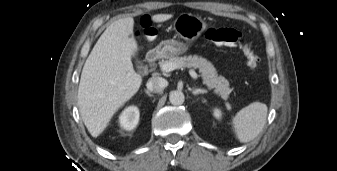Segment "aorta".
Segmentation results:
<instances>
[{
    "instance_id": "1",
    "label": "aorta",
    "mask_w": 337,
    "mask_h": 171,
    "mask_svg": "<svg viewBox=\"0 0 337 171\" xmlns=\"http://www.w3.org/2000/svg\"><path fill=\"white\" fill-rule=\"evenodd\" d=\"M169 101L172 105H181L185 101V96L182 91L174 90L169 94Z\"/></svg>"
}]
</instances>
